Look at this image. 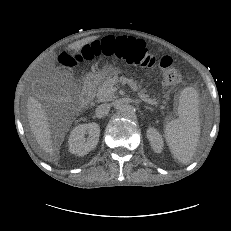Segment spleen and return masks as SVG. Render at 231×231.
<instances>
[{
	"instance_id": "1",
	"label": "spleen",
	"mask_w": 231,
	"mask_h": 231,
	"mask_svg": "<svg viewBox=\"0 0 231 231\" xmlns=\"http://www.w3.org/2000/svg\"><path fill=\"white\" fill-rule=\"evenodd\" d=\"M199 99L196 90L185 88L180 95L178 118L164 127V136L173 157L187 164L193 158L199 141Z\"/></svg>"
}]
</instances>
